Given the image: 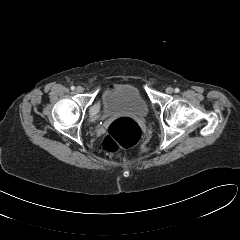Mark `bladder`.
Here are the masks:
<instances>
[{"label":"bladder","instance_id":"1","mask_svg":"<svg viewBox=\"0 0 240 240\" xmlns=\"http://www.w3.org/2000/svg\"><path fill=\"white\" fill-rule=\"evenodd\" d=\"M101 117L130 115L145 118L149 107L141 91L131 84L114 85L101 95Z\"/></svg>","mask_w":240,"mask_h":240}]
</instances>
